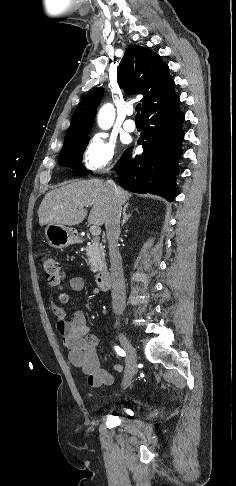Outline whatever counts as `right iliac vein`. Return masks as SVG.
Returning a JSON list of instances; mask_svg holds the SVG:
<instances>
[{"mask_svg": "<svg viewBox=\"0 0 236 486\" xmlns=\"http://www.w3.org/2000/svg\"><path fill=\"white\" fill-rule=\"evenodd\" d=\"M119 337L125 351L127 352L126 372L123 380V386H126L137 372L136 353L134 347L123 332L120 333Z\"/></svg>", "mask_w": 236, "mask_h": 486, "instance_id": "right-iliac-vein-1", "label": "right iliac vein"}]
</instances>
